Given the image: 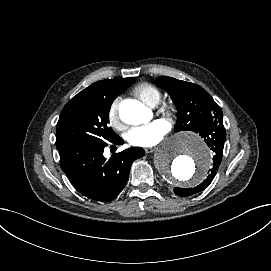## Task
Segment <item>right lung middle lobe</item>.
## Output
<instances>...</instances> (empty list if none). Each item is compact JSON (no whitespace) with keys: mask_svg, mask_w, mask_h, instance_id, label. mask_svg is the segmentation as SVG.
Instances as JSON below:
<instances>
[{"mask_svg":"<svg viewBox=\"0 0 271 271\" xmlns=\"http://www.w3.org/2000/svg\"><path fill=\"white\" fill-rule=\"evenodd\" d=\"M135 78L98 81L74 96L63 108L56 128V147L80 141H111L117 134L108 127L115 98Z\"/></svg>","mask_w":271,"mask_h":271,"instance_id":"1","label":"right lung middle lobe"}]
</instances>
